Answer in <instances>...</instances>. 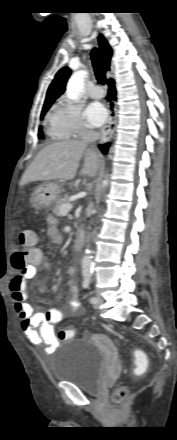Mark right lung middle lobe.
<instances>
[{"label":"right lung middle lobe","mask_w":177,"mask_h":440,"mask_svg":"<svg viewBox=\"0 0 177 440\" xmlns=\"http://www.w3.org/2000/svg\"><path fill=\"white\" fill-rule=\"evenodd\" d=\"M52 103L53 102L44 103V106H43V109H42V112H41V119H43L45 113L49 110V108L51 107ZM38 138H40V139L44 138L43 132L41 130V127L39 128Z\"/></svg>","instance_id":"right-lung-middle-lobe-1"}]
</instances>
